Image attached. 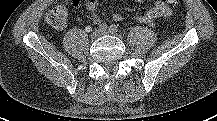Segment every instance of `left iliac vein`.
Segmentation results:
<instances>
[{
    "mask_svg": "<svg viewBox=\"0 0 217 121\" xmlns=\"http://www.w3.org/2000/svg\"><path fill=\"white\" fill-rule=\"evenodd\" d=\"M101 34H102V35H109V34H113V33H111V32L108 31V30H105V31H102Z\"/></svg>",
    "mask_w": 217,
    "mask_h": 121,
    "instance_id": "4c4485c4",
    "label": "left iliac vein"
}]
</instances>
